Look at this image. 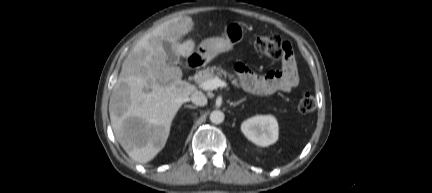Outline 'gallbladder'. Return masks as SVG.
I'll return each instance as SVG.
<instances>
[{
  "instance_id": "1",
  "label": "gallbladder",
  "mask_w": 432,
  "mask_h": 193,
  "mask_svg": "<svg viewBox=\"0 0 432 193\" xmlns=\"http://www.w3.org/2000/svg\"><path fill=\"white\" fill-rule=\"evenodd\" d=\"M163 48L166 51L167 55H168V59L167 62L169 65H176L179 63L180 61V57L179 55L175 54L174 51L172 50V45L167 42V41H163Z\"/></svg>"
}]
</instances>
